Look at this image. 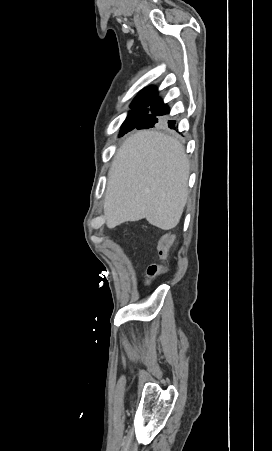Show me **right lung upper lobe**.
Wrapping results in <instances>:
<instances>
[{
    "instance_id": "cb5924a9",
    "label": "right lung upper lobe",
    "mask_w": 272,
    "mask_h": 451,
    "mask_svg": "<svg viewBox=\"0 0 272 451\" xmlns=\"http://www.w3.org/2000/svg\"><path fill=\"white\" fill-rule=\"evenodd\" d=\"M157 96V90L155 87L150 86L145 89H143L135 99H148V98H155ZM134 99V100H135Z\"/></svg>"
}]
</instances>
